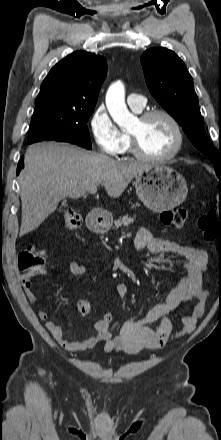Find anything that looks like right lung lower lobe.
Returning a JSON list of instances; mask_svg holds the SVG:
<instances>
[{
    "instance_id": "1",
    "label": "right lung lower lobe",
    "mask_w": 221,
    "mask_h": 440,
    "mask_svg": "<svg viewBox=\"0 0 221 440\" xmlns=\"http://www.w3.org/2000/svg\"><path fill=\"white\" fill-rule=\"evenodd\" d=\"M24 167L23 157H21L20 161L18 162L17 166V174L20 173L21 169Z\"/></svg>"
}]
</instances>
